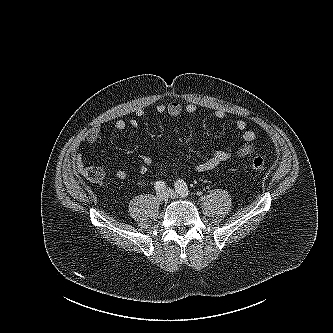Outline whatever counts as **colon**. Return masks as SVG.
Listing matches in <instances>:
<instances>
[{
	"label": "colon",
	"instance_id": "obj_1",
	"mask_svg": "<svg viewBox=\"0 0 333 333\" xmlns=\"http://www.w3.org/2000/svg\"><path fill=\"white\" fill-rule=\"evenodd\" d=\"M251 166L256 171H263L266 168V160L260 155L254 156L251 161Z\"/></svg>",
	"mask_w": 333,
	"mask_h": 333
}]
</instances>
